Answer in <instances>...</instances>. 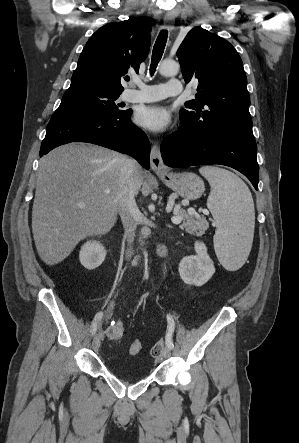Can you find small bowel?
Masks as SVG:
<instances>
[{
	"label": "small bowel",
	"instance_id": "obj_1",
	"mask_svg": "<svg viewBox=\"0 0 299 443\" xmlns=\"http://www.w3.org/2000/svg\"><path fill=\"white\" fill-rule=\"evenodd\" d=\"M113 310H114V304L113 302L110 303V305L106 308L105 310V318L107 320H110L113 314ZM104 335V332L102 333V336Z\"/></svg>",
	"mask_w": 299,
	"mask_h": 443
}]
</instances>
